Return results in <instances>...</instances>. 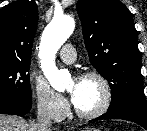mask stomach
Masks as SVG:
<instances>
[{
    "instance_id": "1",
    "label": "stomach",
    "mask_w": 147,
    "mask_h": 131,
    "mask_svg": "<svg viewBox=\"0 0 147 131\" xmlns=\"http://www.w3.org/2000/svg\"><path fill=\"white\" fill-rule=\"evenodd\" d=\"M82 131H99L96 128H84Z\"/></svg>"
}]
</instances>
